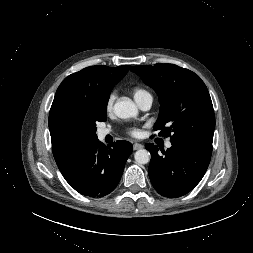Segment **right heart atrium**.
Wrapping results in <instances>:
<instances>
[{"mask_svg": "<svg viewBox=\"0 0 253 253\" xmlns=\"http://www.w3.org/2000/svg\"><path fill=\"white\" fill-rule=\"evenodd\" d=\"M114 101H115V94L111 93L108 96L107 101H106V105H105V108H106L107 112H111L112 111L113 105H114Z\"/></svg>", "mask_w": 253, "mask_h": 253, "instance_id": "1", "label": "right heart atrium"}]
</instances>
